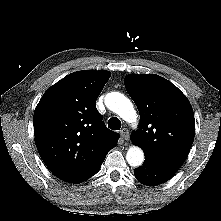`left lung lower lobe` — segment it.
Here are the masks:
<instances>
[{
    "instance_id": "left-lung-lower-lobe-1",
    "label": "left lung lower lobe",
    "mask_w": 221,
    "mask_h": 221,
    "mask_svg": "<svg viewBox=\"0 0 221 221\" xmlns=\"http://www.w3.org/2000/svg\"><path fill=\"white\" fill-rule=\"evenodd\" d=\"M176 171L156 165L148 160H145L141 167L134 170L137 180L150 186H156L168 181Z\"/></svg>"
}]
</instances>
